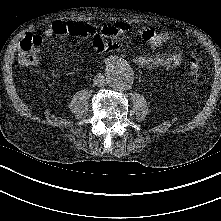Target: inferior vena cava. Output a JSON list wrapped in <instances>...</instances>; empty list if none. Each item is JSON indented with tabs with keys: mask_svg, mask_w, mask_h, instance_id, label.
I'll use <instances>...</instances> for the list:
<instances>
[{
	"mask_svg": "<svg viewBox=\"0 0 221 221\" xmlns=\"http://www.w3.org/2000/svg\"><path fill=\"white\" fill-rule=\"evenodd\" d=\"M93 83H94V85H96L98 87H103L106 84V79H105L104 75L99 73L94 77Z\"/></svg>",
	"mask_w": 221,
	"mask_h": 221,
	"instance_id": "1",
	"label": "inferior vena cava"
}]
</instances>
